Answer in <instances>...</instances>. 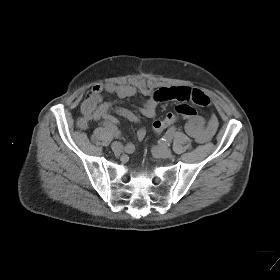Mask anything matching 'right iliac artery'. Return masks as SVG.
Wrapping results in <instances>:
<instances>
[{
	"label": "right iliac artery",
	"mask_w": 280,
	"mask_h": 280,
	"mask_svg": "<svg viewBox=\"0 0 280 280\" xmlns=\"http://www.w3.org/2000/svg\"><path fill=\"white\" fill-rule=\"evenodd\" d=\"M104 128L111 133L115 138H120V131L118 128L112 124L111 122L105 121L103 123ZM135 150V146L132 143H127L125 146V151L127 153H133Z\"/></svg>",
	"instance_id": "82829eb1"
}]
</instances>
